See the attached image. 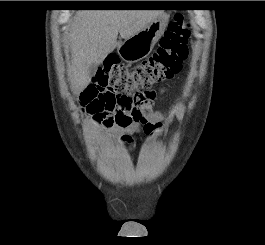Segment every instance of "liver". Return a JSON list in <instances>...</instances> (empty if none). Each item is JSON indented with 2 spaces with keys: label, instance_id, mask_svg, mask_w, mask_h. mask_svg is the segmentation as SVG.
I'll use <instances>...</instances> for the list:
<instances>
[{
  "label": "liver",
  "instance_id": "obj_1",
  "mask_svg": "<svg viewBox=\"0 0 265 245\" xmlns=\"http://www.w3.org/2000/svg\"><path fill=\"white\" fill-rule=\"evenodd\" d=\"M160 10H81L77 12L68 35L72 61L68 66L71 89L78 94L90 83L91 64L102 63L118 45L117 37L128 39L152 20Z\"/></svg>",
  "mask_w": 265,
  "mask_h": 245
}]
</instances>
